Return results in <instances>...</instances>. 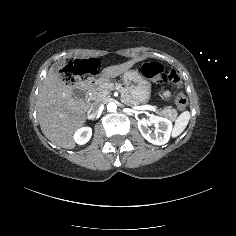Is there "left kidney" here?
<instances>
[{"mask_svg":"<svg viewBox=\"0 0 236 236\" xmlns=\"http://www.w3.org/2000/svg\"><path fill=\"white\" fill-rule=\"evenodd\" d=\"M149 122L153 125L154 132L149 129ZM137 127L142 137L153 145H163L169 141L172 124L169 120L154 115L141 117Z\"/></svg>","mask_w":236,"mask_h":236,"instance_id":"5707ae66","label":"left kidney"}]
</instances>
